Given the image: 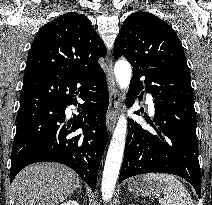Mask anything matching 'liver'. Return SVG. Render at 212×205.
Returning a JSON list of instances; mask_svg holds the SVG:
<instances>
[{
  "label": "liver",
  "instance_id": "6515ba94",
  "mask_svg": "<svg viewBox=\"0 0 212 205\" xmlns=\"http://www.w3.org/2000/svg\"><path fill=\"white\" fill-rule=\"evenodd\" d=\"M76 173L57 163H37L24 168L12 183L16 205H57L76 188Z\"/></svg>",
  "mask_w": 212,
  "mask_h": 205
}]
</instances>
